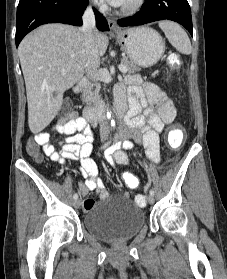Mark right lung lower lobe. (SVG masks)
Returning a JSON list of instances; mask_svg holds the SVG:
<instances>
[{"mask_svg": "<svg viewBox=\"0 0 227 279\" xmlns=\"http://www.w3.org/2000/svg\"><path fill=\"white\" fill-rule=\"evenodd\" d=\"M88 0H20L17 8L16 46L34 28L47 23L82 25L83 12ZM96 26L108 31V23L94 8Z\"/></svg>", "mask_w": 227, "mask_h": 279, "instance_id": "98d812e1", "label": "right lung lower lobe"}]
</instances>
